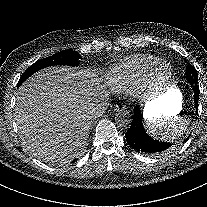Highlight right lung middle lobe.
<instances>
[{
	"mask_svg": "<svg viewBox=\"0 0 207 207\" xmlns=\"http://www.w3.org/2000/svg\"><path fill=\"white\" fill-rule=\"evenodd\" d=\"M81 58L80 54L73 50H65L59 53H56L50 57L44 58L32 64L20 77L17 87L29 78L35 72L46 68L48 66L53 65H68V66H76L79 63V59Z\"/></svg>",
	"mask_w": 207,
	"mask_h": 207,
	"instance_id": "dd1d6c3e",
	"label": "right lung middle lobe"
}]
</instances>
